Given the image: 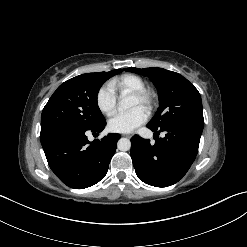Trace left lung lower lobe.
<instances>
[{
  "label": "left lung lower lobe",
  "instance_id": "left-lung-lower-lobe-1",
  "mask_svg": "<svg viewBox=\"0 0 247 247\" xmlns=\"http://www.w3.org/2000/svg\"><path fill=\"white\" fill-rule=\"evenodd\" d=\"M155 143L135 135L131 157L138 178L146 184L167 187L178 182L189 170L198 152L203 126L178 120L167 126L153 127ZM165 132L159 138L160 132Z\"/></svg>",
  "mask_w": 247,
  "mask_h": 247
}]
</instances>
